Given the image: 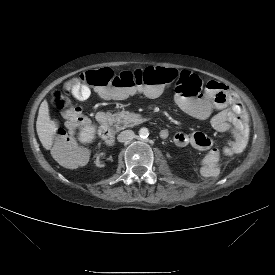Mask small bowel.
Instances as JSON below:
<instances>
[{
	"instance_id": "small-bowel-1",
	"label": "small bowel",
	"mask_w": 275,
	"mask_h": 275,
	"mask_svg": "<svg viewBox=\"0 0 275 275\" xmlns=\"http://www.w3.org/2000/svg\"><path fill=\"white\" fill-rule=\"evenodd\" d=\"M70 84L71 80L65 85ZM198 93L187 90L177 92L176 101L191 116L201 120L209 119L216 131L230 133L232 152L241 153L249 138V120L239 97L217 81L208 82L204 91ZM163 130L168 132L167 129ZM174 139L179 144H193L194 149L203 154L199 159V171L205 179L211 180L221 174L222 153L213 148L214 142L209 135L203 132H178Z\"/></svg>"
}]
</instances>
